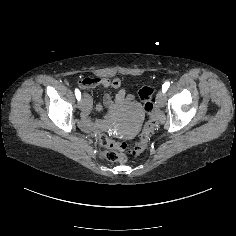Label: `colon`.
<instances>
[{"instance_id":"colon-1","label":"colon","mask_w":236,"mask_h":236,"mask_svg":"<svg viewBox=\"0 0 236 236\" xmlns=\"http://www.w3.org/2000/svg\"><path fill=\"white\" fill-rule=\"evenodd\" d=\"M101 80L102 79L99 78H83L78 81V84L81 87H86L101 82ZM154 90L155 89L153 85L147 84L143 86L139 91L140 99L143 102L145 111L149 115V119L144 125L138 143L129 145L126 142H116L114 140H111L105 135H102L100 137L101 145L105 150L104 155L106 159L113 162L124 163L126 161L124 152L128 151L133 155H138L146 149L150 140L151 132L158 122L153 98Z\"/></svg>"}]
</instances>
